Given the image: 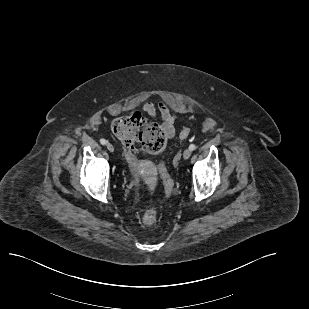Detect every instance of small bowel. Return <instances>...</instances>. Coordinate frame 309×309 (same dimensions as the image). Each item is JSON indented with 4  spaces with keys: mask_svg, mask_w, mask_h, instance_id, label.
<instances>
[{
    "mask_svg": "<svg viewBox=\"0 0 309 309\" xmlns=\"http://www.w3.org/2000/svg\"><path fill=\"white\" fill-rule=\"evenodd\" d=\"M143 111L149 116L154 118L157 113L160 115L161 129L168 138L175 135L174 123L176 121V114L173 113L165 101H159L157 104L153 102H145L142 106ZM127 159L132 166L136 165V158L133 154L128 153Z\"/></svg>",
    "mask_w": 309,
    "mask_h": 309,
    "instance_id": "1",
    "label": "small bowel"
}]
</instances>
